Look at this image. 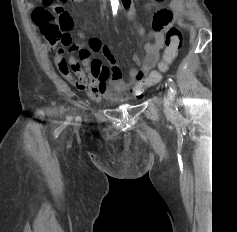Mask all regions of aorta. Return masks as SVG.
I'll return each instance as SVG.
<instances>
[{
  "mask_svg": "<svg viewBox=\"0 0 237 232\" xmlns=\"http://www.w3.org/2000/svg\"><path fill=\"white\" fill-rule=\"evenodd\" d=\"M111 1V7H112V12L113 15H117V11L119 8V0H110Z\"/></svg>",
  "mask_w": 237,
  "mask_h": 232,
  "instance_id": "aorta-1",
  "label": "aorta"
}]
</instances>
